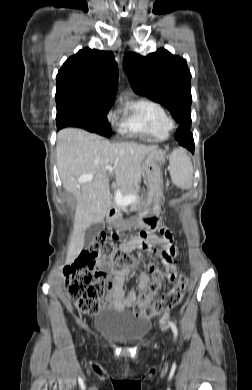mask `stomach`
Returning <instances> with one entry per match:
<instances>
[{"mask_svg": "<svg viewBox=\"0 0 252 390\" xmlns=\"http://www.w3.org/2000/svg\"><path fill=\"white\" fill-rule=\"evenodd\" d=\"M164 155L160 151H152L142 162L143 174L146 176L149 185V196L140 207L134 224L140 228L152 229L162 221V195L163 182L161 165ZM116 227H119L116 224Z\"/></svg>", "mask_w": 252, "mask_h": 390, "instance_id": "1", "label": "stomach"}]
</instances>
